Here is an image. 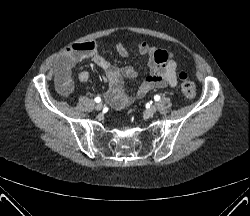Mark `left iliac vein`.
Listing matches in <instances>:
<instances>
[{
	"instance_id": "1",
	"label": "left iliac vein",
	"mask_w": 250,
	"mask_h": 216,
	"mask_svg": "<svg viewBox=\"0 0 250 216\" xmlns=\"http://www.w3.org/2000/svg\"><path fill=\"white\" fill-rule=\"evenodd\" d=\"M157 111V107L155 105H152L148 108L147 112L148 114L152 115Z\"/></svg>"
}]
</instances>
